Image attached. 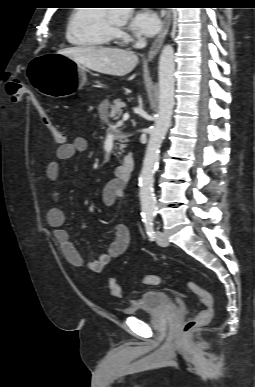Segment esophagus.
Here are the masks:
<instances>
[{
  "instance_id": "1",
  "label": "esophagus",
  "mask_w": 255,
  "mask_h": 387,
  "mask_svg": "<svg viewBox=\"0 0 255 387\" xmlns=\"http://www.w3.org/2000/svg\"><path fill=\"white\" fill-rule=\"evenodd\" d=\"M164 12H165V17L163 20L162 29L150 47L147 61H151L156 56V54L159 52V50L163 44V41L165 39V36L167 35V33L169 31V28L171 25V20H172V14H171L170 10H165Z\"/></svg>"
}]
</instances>
